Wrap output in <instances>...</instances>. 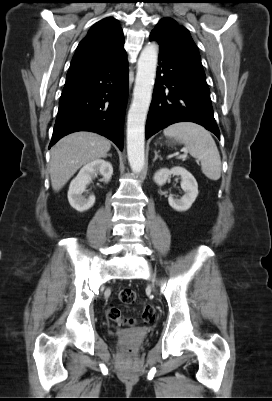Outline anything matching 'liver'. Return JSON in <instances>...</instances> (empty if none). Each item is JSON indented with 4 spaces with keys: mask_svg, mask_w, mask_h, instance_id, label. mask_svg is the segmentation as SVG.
Returning a JSON list of instances; mask_svg holds the SVG:
<instances>
[{
    "mask_svg": "<svg viewBox=\"0 0 272 401\" xmlns=\"http://www.w3.org/2000/svg\"><path fill=\"white\" fill-rule=\"evenodd\" d=\"M110 148L108 139L88 131L71 133L60 139L51 149L50 178L53 190H61L81 166L105 158Z\"/></svg>",
    "mask_w": 272,
    "mask_h": 401,
    "instance_id": "obj_1",
    "label": "liver"
}]
</instances>
